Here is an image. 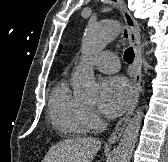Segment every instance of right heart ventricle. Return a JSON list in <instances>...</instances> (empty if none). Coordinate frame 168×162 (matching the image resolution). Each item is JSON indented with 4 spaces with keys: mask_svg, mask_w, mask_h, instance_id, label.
Returning a JSON list of instances; mask_svg holds the SVG:
<instances>
[{
    "mask_svg": "<svg viewBox=\"0 0 168 162\" xmlns=\"http://www.w3.org/2000/svg\"><path fill=\"white\" fill-rule=\"evenodd\" d=\"M85 105L71 91L66 77L55 84L49 99V115L56 128L69 135H84L90 127L86 124Z\"/></svg>",
    "mask_w": 168,
    "mask_h": 162,
    "instance_id": "1",
    "label": "right heart ventricle"
}]
</instances>
